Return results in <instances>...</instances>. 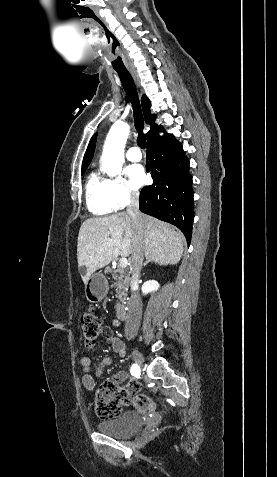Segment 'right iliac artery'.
Returning a JSON list of instances; mask_svg holds the SVG:
<instances>
[{
	"instance_id": "1",
	"label": "right iliac artery",
	"mask_w": 277,
	"mask_h": 477,
	"mask_svg": "<svg viewBox=\"0 0 277 477\" xmlns=\"http://www.w3.org/2000/svg\"><path fill=\"white\" fill-rule=\"evenodd\" d=\"M139 371V366L137 364H133L131 367V373L136 374Z\"/></svg>"
}]
</instances>
